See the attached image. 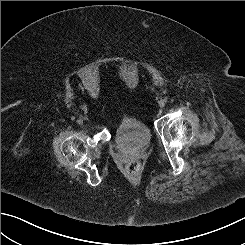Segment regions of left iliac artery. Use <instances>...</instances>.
Returning <instances> with one entry per match:
<instances>
[{
	"label": "left iliac artery",
	"instance_id": "obj_1",
	"mask_svg": "<svg viewBox=\"0 0 245 245\" xmlns=\"http://www.w3.org/2000/svg\"><path fill=\"white\" fill-rule=\"evenodd\" d=\"M163 101H164V102H167V101H168V99L165 97V98L163 99Z\"/></svg>",
	"mask_w": 245,
	"mask_h": 245
}]
</instances>
